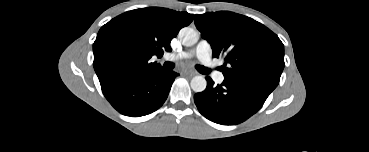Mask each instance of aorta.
I'll use <instances>...</instances> for the list:
<instances>
[{
    "label": "aorta",
    "instance_id": "aorta-1",
    "mask_svg": "<svg viewBox=\"0 0 369 152\" xmlns=\"http://www.w3.org/2000/svg\"><path fill=\"white\" fill-rule=\"evenodd\" d=\"M179 37L182 44L187 47L194 45L199 39L197 31L189 27L182 28ZM190 85L194 92H203L206 89L207 81L204 76L197 75L192 78Z\"/></svg>",
    "mask_w": 369,
    "mask_h": 152
}]
</instances>
